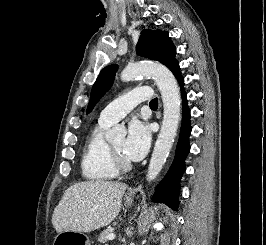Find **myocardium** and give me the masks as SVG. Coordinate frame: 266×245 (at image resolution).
<instances>
[{
    "label": "myocardium",
    "mask_w": 266,
    "mask_h": 245,
    "mask_svg": "<svg viewBox=\"0 0 266 245\" xmlns=\"http://www.w3.org/2000/svg\"><path fill=\"white\" fill-rule=\"evenodd\" d=\"M108 156L111 164L118 172H128L132 169V165L127 160H123L112 148L111 144L107 145Z\"/></svg>",
    "instance_id": "obj_1"
}]
</instances>
